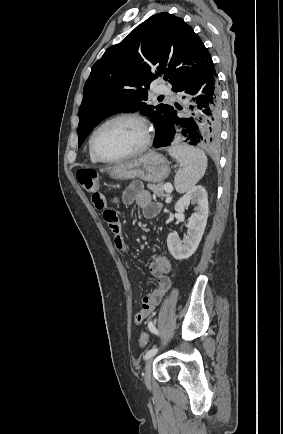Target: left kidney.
<instances>
[{
  "label": "left kidney",
  "mask_w": 283,
  "mask_h": 434,
  "mask_svg": "<svg viewBox=\"0 0 283 434\" xmlns=\"http://www.w3.org/2000/svg\"><path fill=\"white\" fill-rule=\"evenodd\" d=\"M190 203L196 204V207L195 212L187 222V235L184 236L183 240L176 232H171L167 237L168 249L177 260L192 256L202 239L209 212L207 192L203 186H194L183 195L176 203L175 211L183 213Z\"/></svg>",
  "instance_id": "5707ae66"
}]
</instances>
